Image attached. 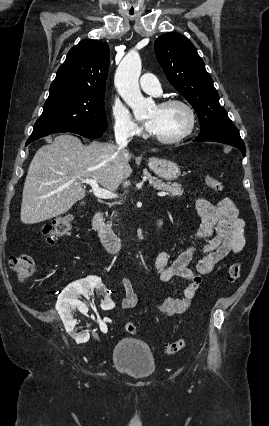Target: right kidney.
Returning a JSON list of instances; mask_svg holds the SVG:
<instances>
[{
  "mask_svg": "<svg viewBox=\"0 0 269 426\" xmlns=\"http://www.w3.org/2000/svg\"><path fill=\"white\" fill-rule=\"evenodd\" d=\"M94 293L96 295H106L108 293V288L103 286L101 279L97 277H87L86 279H81L76 282H70L68 287L62 288V294L58 298L56 303V309L64 323L65 329L70 333L78 342H86L89 339V334H82L76 336L73 329L76 325V320L73 318L72 311L76 308L82 312H86L88 308L84 303H82L78 298L80 295L88 298ZM100 309L105 311H114L115 304L112 302L109 296L105 297L103 303L100 304Z\"/></svg>",
  "mask_w": 269,
  "mask_h": 426,
  "instance_id": "1",
  "label": "right kidney"
}]
</instances>
